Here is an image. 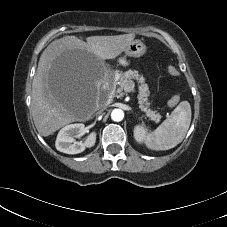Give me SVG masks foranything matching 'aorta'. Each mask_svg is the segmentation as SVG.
Masks as SVG:
<instances>
[{
	"instance_id": "1",
	"label": "aorta",
	"mask_w": 227,
	"mask_h": 227,
	"mask_svg": "<svg viewBox=\"0 0 227 227\" xmlns=\"http://www.w3.org/2000/svg\"><path fill=\"white\" fill-rule=\"evenodd\" d=\"M124 118V112L121 109H114L111 113V119L115 122H120Z\"/></svg>"
}]
</instances>
